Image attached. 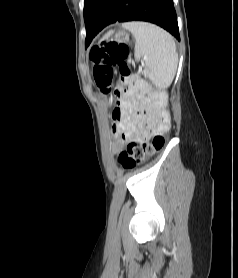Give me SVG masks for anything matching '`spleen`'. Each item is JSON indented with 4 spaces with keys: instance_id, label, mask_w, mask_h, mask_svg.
<instances>
[{
    "instance_id": "spleen-1",
    "label": "spleen",
    "mask_w": 238,
    "mask_h": 278,
    "mask_svg": "<svg viewBox=\"0 0 238 278\" xmlns=\"http://www.w3.org/2000/svg\"><path fill=\"white\" fill-rule=\"evenodd\" d=\"M122 26L136 40L135 59L144 58L145 77L158 89L167 88L173 81L178 64L173 37L160 27L146 22L133 21Z\"/></svg>"
}]
</instances>
